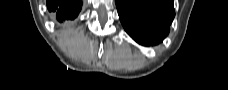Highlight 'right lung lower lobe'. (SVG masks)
<instances>
[{"instance_id":"1","label":"right lung lower lobe","mask_w":228,"mask_h":90,"mask_svg":"<svg viewBox=\"0 0 228 90\" xmlns=\"http://www.w3.org/2000/svg\"><path fill=\"white\" fill-rule=\"evenodd\" d=\"M82 6L80 0H47L49 11H57V19L61 22L65 19H74Z\"/></svg>"}]
</instances>
